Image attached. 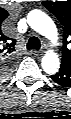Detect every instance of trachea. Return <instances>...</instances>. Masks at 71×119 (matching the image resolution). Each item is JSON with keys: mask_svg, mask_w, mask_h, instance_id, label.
<instances>
[{"mask_svg": "<svg viewBox=\"0 0 71 119\" xmlns=\"http://www.w3.org/2000/svg\"><path fill=\"white\" fill-rule=\"evenodd\" d=\"M41 47L40 40L37 37H31L27 43V49L39 50Z\"/></svg>", "mask_w": 71, "mask_h": 119, "instance_id": "trachea-1", "label": "trachea"}]
</instances>
